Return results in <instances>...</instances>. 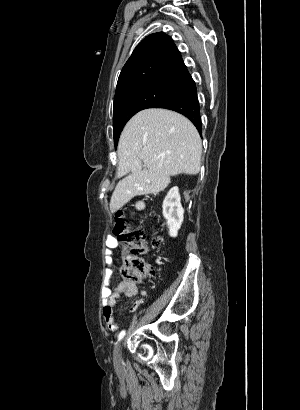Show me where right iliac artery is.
I'll return each mask as SVG.
<instances>
[{
    "label": "right iliac artery",
    "instance_id": "1",
    "mask_svg": "<svg viewBox=\"0 0 300 410\" xmlns=\"http://www.w3.org/2000/svg\"><path fill=\"white\" fill-rule=\"evenodd\" d=\"M125 336V330H122L118 335V341H120Z\"/></svg>",
    "mask_w": 300,
    "mask_h": 410
}]
</instances>
